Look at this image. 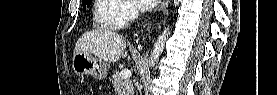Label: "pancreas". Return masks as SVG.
I'll use <instances>...</instances> for the list:
<instances>
[{
  "mask_svg": "<svg viewBox=\"0 0 277 95\" xmlns=\"http://www.w3.org/2000/svg\"><path fill=\"white\" fill-rule=\"evenodd\" d=\"M112 84L115 92L118 95H132L133 86L129 79L120 78V73L118 71H113Z\"/></svg>",
  "mask_w": 277,
  "mask_h": 95,
  "instance_id": "1",
  "label": "pancreas"
}]
</instances>
